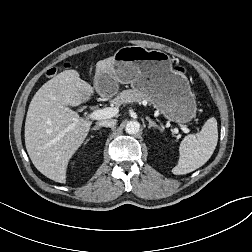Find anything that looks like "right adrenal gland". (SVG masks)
<instances>
[{
  "label": "right adrenal gland",
  "instance_id": "obj_1",
  "mask_svg": "<svg viewBox=\"0 0 252 252\" xmlns=\"http://www.w3.org/2000/svg\"><path fill=\"white\" fill-rule=\"evenodd\" d=\"M101 128L96 126V127H93L92 130H100Z\"/></svg>",
  "mask_w": 252,
  "mask_h": 252
}]
</instances>
